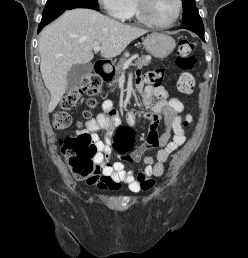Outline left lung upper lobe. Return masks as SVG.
Wrapping results in <instances>:
<instances>
[{"mask_svg": "<svg viewBox=\"0 0 248 258\" xmlns=\"http://www.w3.org/2000/svg\"><path fill=\"white\" fill-rule=\"evenodd\" d=\"M183 2V27L190 25H201L203 24L202 19L198 13V9L195 5V0H182Z\"/></svg>", "mask_w": 248, "mask_h": 258, "instance_id": "obj_1", "label": "left lung upper lobe"}]
</instances>
